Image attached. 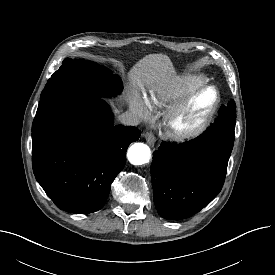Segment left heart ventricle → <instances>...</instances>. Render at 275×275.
<instances>
[{
    "mask_svg": "<svg viewBox=\"0 0 275 275\" xmlns=\"http://www.w3.org/2000/svg\"><path fill=\"white\" fill-rule=\"evenodd\" d=\"M215 100L213 91H206L197 95L190 103L187 110L177 119L175 125L179 129H186L199 122Z\"/></svg>",
    "mask_w": 275,
    "mask_h": 275,
    "instance_id": "b2bd125f",
    "label": "left heart ventricle"
}]
</instances>
